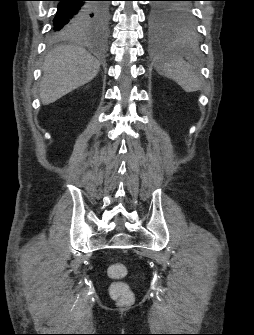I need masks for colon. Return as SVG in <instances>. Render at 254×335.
I'll list each match as a JSON object with an SVG mask.
<instances>
[{
	"label": "colon",
	"instance_id": "colon-1",
	"mask_svg": "<svg viewBox=\"0 0 254 335\" xmlns=\"http://www.w3.org/2000/svg\"><path fill=\"white\" fill-rule=\"evenodd\" d=\"M107 272L109 277L114 280L109 286L110 295L121 303H129L133 295L127 285L122 281L127 274L126 267L121 263H112L109 265Z\"/></svg>",
	"mask_w": 254,
	"mask_h": 335
}]
</instances>
